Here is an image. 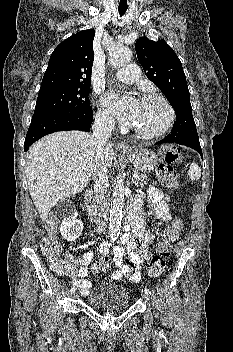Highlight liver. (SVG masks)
I'll use <instances>...</instances> for the list:
<instances>
[{"instance_id":"liver-1","label":"liver","mask_w":233,"mask_h":352,"mask_svg":"<svg viewBox=\"0 0 233 352\" xmlns=\"http://www.w3.org/2000/svg\"><path fill=\"white\" fill-rule=\"evenodd\" d=\"M96 152L92 136L82 131H61L34 143L28 154L25 173L30 196L42 221L59 201L84 190L92 176ZM114 158L110 143L103 148L109 167Z\"/></svg>"}]
</instances>
